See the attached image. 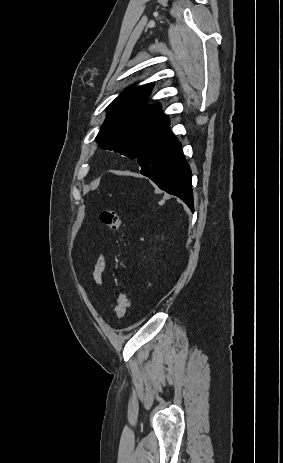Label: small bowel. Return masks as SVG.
<instances>
[{
    "label": "small bowel",
    "instance_id": "c3829d8e",
    "mask_svg": "<svg viewBox=\"0 0 283 463\" xmlns=\"http://www.w3.org/2000/svg\"><path fill=\"white\" fill-rule=\"evenodd\" d=\"M104 270H105V259L103 256H100L92 272L94 282L98 286H102L103 284L102 275H103Z\"/></svg>",
    "mask_w": 283,
    "mask_h": 463
}]
</instances>
